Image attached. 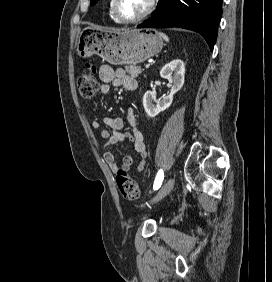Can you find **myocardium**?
<instances>
[{"instance_id": "obj_1", "label": "myocardium", "mask_w": 272, "mask_h": 282, "mask_svg": "<svg viewBox=\"0 0 272 282\" xmlns=\"http://www.w3.org/2000/svg\"><path fill=\"white\" fill-rule=\"evenodd\" d=\"M158 0H151L147 10L141 15L133 18L123 16L118 9V0H112L111 8L115 17L124 23H137L147 18L156 8Z\"/></svg>"}]
</instances>
